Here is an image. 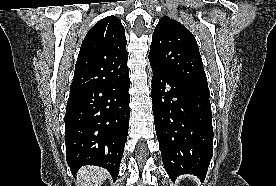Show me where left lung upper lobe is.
<instances>
[{"mask_svg": "<svg viewBox=\"0 0 276 186\" xmlns=\"http://www.w3.org/2000/svg\"><path fill=\"white\" fill-rule=\"evenodd\" d=\"M149 61L153 68L174 78L208 87L196 39L168 16L162 17L154 30Z\"/></svg>", "mask_w": 276, "mask_h": 186, "instance_id": "obj_1", "label": "left lung upper lobe"}]
</instances>
